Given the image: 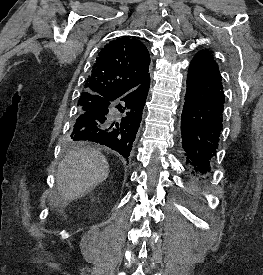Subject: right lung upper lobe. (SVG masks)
Here are the masks:
<instances>
[{
    "instance_id": "obj_1",
    "label": "right lung upper lobe",
    "mask_w": 263,
    "mask_h": 275,
    "mask_svg": "<svg viewBox=\"0 0 263 275\" xmlns=\"http://www.w3.org/2000/svg\"><path fill=\"white\" fill-rule=\"evenodd\" d=\"M149 64V52L141 41L129 37L110 41L99 52L81 95L93 94L104 100L117 94L132 96L150 79ZM140 105L142 108L143 103Z\"/></svg>"
}]
</instances>
